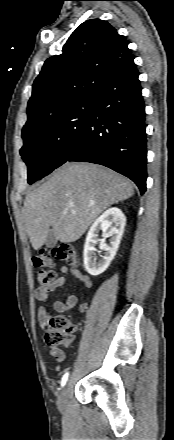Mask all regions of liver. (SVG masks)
<instances>
[{"label": "liver", "mask_w": 174, "mask_h": 440, "mask_svg": "<svg viewBox=\"0 0 174 440\" xmlns=\"http://www.w3.org/2000/svg\"><path fill=\"white\" fill-rule=\"evenodd\" d=\"M133 194V184L111 169L65 163L25 197L23 219L32 247L45 244L50 227L62 243L78 240L105 209Z\"/></svg>", "instance_id": "1"}]
</instances>
